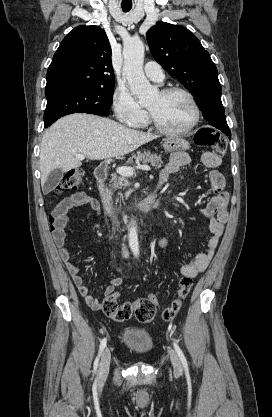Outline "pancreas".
<instances>
[{
	"mask_svg": "<svg viewBox=\"0 0 272 417\" xmlns=\"http://www.w3.org/2000/svg\"><path fill=\"white\" fill-rule=\"evenodd\" d=\"M134 159L142 161L144 164L146 163H150L152 166H154L156 169H160L161 165L163 164L162 159L160 156L157 155H153L150 152L148 153H137L136 156H134ZM132 161V160H131ZM113 184L112 187L113 188H122V186H129V181L128 178L126 176H117L114 175L112 178Z\"/></svg>",
	"mask_w": 272,
	"mask_h": 417,
	"instance_id": "pancreas-1",
	"label": "pancreas"
}]
</instances>
